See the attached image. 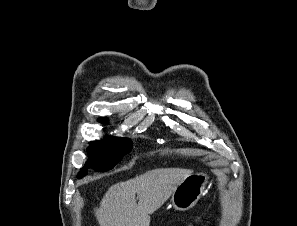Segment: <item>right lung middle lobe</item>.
Listing matches in <instances>:
<instances>
[{
    "instance_id": "obj_1",
    "label": "right lung middle lobe",
    "mask_w": 297,
    "mask_h": 226,
    "mask_svg": "<svg viewBox=\"0 0 297 226\" xmlns=\"http://www.w3.org/2000/svg\"><path fill=\"white\" fill-rule=\"evenodd\" d=\"M131 149L132 142L127 138L107 137L104 140L91 142L87 148L89 161L79 172L78 178L83 177L89 167L103 172L113 169Z\"/></svg>"
}]
</instances>
